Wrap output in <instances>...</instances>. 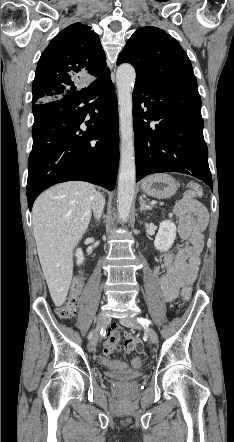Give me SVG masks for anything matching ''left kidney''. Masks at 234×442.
Returning a JSON list of instances; mask_svg holds the SVG:
<instances>
[{
	"instance_id": "5707ae66",
	"label": "left kidney",
	"mask_w": 234,
	"mask_h": 442,
	"mask_svg": "<svg viewBox=\"0 0 234 442\" xmlns=\"http://www.w3.org/2000/svg\"><path fill=\"white\" fill-rule=\"evenodd\" d=\"M175 238V224L170 220H164L160 223L158 233L155 237L154 247L161 252H166L172 246Z\"/></svg>"
}]
</instances>
